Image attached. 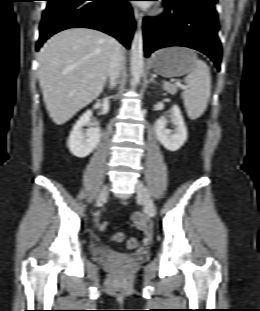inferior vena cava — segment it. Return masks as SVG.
I'll list each match as a JSON object with an SVG mask.
<instances>
[{
    "mask_svg": "<svg viewBox=\"0 0 260 311\" xmlns=\"http://www.w3.org/2000/svg\"><path fill=\"white\" fill-rule=\"evenodd\" d=\"M122 67V46L115 39L113 40V49L109 56L107 76L110 87L113 88L119 77Z\"/></svg>",
    "mask_w": 260,
    "mask_h": 311,
    "instance_id": "inferior-vena-cava-1",
    "label": "inferior vena cava"
}]
</instances>
